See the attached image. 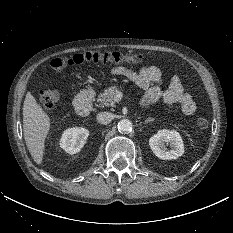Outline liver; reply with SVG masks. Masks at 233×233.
Listing matches in <instances>:
<instances>
[{
	"label": "liver",
	"instance_id": "6515ba94",
	"mask_svg": "<svg viewBox=\"0 0 233 233\" xmlns=\"http://www.w3.org/2000/svg\"><path fill=\"white\" fill-rule=\"evenodd\" d=\"M49 130V116L28 91L23 104V134L26 146L37 164L42 163Z\"/></svg>",
	"mask_w": 233,
	"mask_h": 233
}]
</instances>
